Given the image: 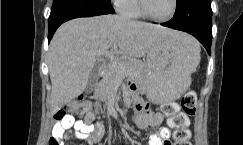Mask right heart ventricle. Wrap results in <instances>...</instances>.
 Wrapping results in <instances>:
<instances>
[{"instance_id": "1", "label": "right heart ventricle", "mask_w": 243, "mask_h": 145, "mask_svg": "<svg viewBox=\"0 0 243 145\" xmlns=\"http://www.w3.org/2000/svg\"><path fill=\"white\" fill-rule=\"evenodd\" d=\"M122 15L129 18H140L142 14L140 13L136 0H126L119 8Z\"/></svg>"}]
</instances>
